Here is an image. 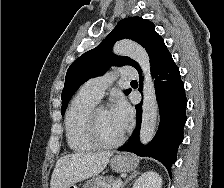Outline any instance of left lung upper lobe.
<instances>
[{
  "label": "left lung upper lobe",
  "instance_id": "obj_1",
  "mask_svg": "<svg viewBox=\"0 0 224 188\" xmlns=\"http://www.w3.org/2000/svg\"><path fill=\"white\" fill-rule=\"evenodd\" d=\"M125 37L136 41L146 49L150 58L151 70L171 55L163 38L155 31V25L152 22L141 17L121 20L97 47L82 54L69 67L61 96L62 115L71 96L80 85L92 77L104 74L110 65H130L136 68L141 75L142 71L134 60L124 56H111L114 43ZM130 91L131 89H128L124 93L128 95Z\"/></svg>",
  "mask_w": 224,
  "mask_h": 188
}]
</instances>
